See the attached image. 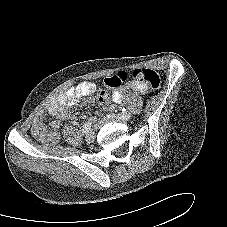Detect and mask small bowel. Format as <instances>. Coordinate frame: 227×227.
I'll return each mask as SVG.
<instances>
[{"instance_id":"small-bowel-1","label":"small bowel","mask_w":227,"mask_h":227,"mask_svg":"<svg viewBox=\"0 0 227 227\" xmlns=\"http://www.w3.org/2000/svg\"><path fill=\"white\" fill-rule=\"evenodd\" d=\"M95 90L96 85L93 82L83 81L51 98L46 106L43 109H40L35 115L32 124L33 134L36 137H45L46 139L55 138L57 136V130L60 128L61 120L71 118L68 110L81 98L92 94ZM128 91L143 94L148 91V87L137 80L129 81L113 91L112 100L115 103H120ZM46 115L55 118L50 123L51 131H47L43 124Z\"/></svg>"}]
</instances>
